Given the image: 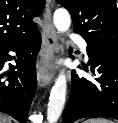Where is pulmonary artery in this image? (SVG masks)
<instances>
[{
    "label": "pulmonary artery",
    "mask_w": 118,
    "mask_h": 123,
    "mask_svg": "<svg viewBox=\"0 0 118 123\" xmlns=\"http://www.w3.org/2000/svg\"><path fill=\"white\" fill-rule=\"evenodd\" d=\"M76 42H77L78 46L80 47V49L82 50V52L87 57V43H86V41L83 38L77 37Z\"/></svg>",
    "instance_id": "e3ab8cb5"
}]
</instances>
